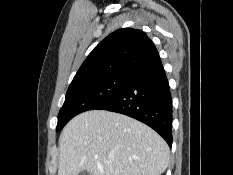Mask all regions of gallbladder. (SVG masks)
<instances>
[{"instance_id":"obj_1","label":"gallbladder","mask_w":233,"mask_h":175,"mask_svg":"<svg viewBox=\"0 0 233 175\" xmlns=\"http://www.w3.org/2000/svg\"><path fill=\"white\" fill-rule=\"evenodd\" d=\"M78 175H90V173L88 171H82L80 172Z\"/></svg>"}]
</instances>
